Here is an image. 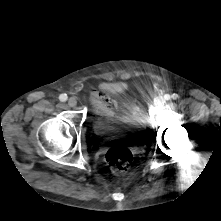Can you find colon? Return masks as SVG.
<instances>
[{"instance_id": "1", "label": "colon", "mask_w": 221, "mask_h": 221, "mask_svg": "<svg viewBox=\"0 0 221 221\" xmlns=\"http://www.w3.org/2000/svg\"><path fill=\"white\" fill-rule=\"evenodd\" d=\"M103 99L107 102L108 96H104ZM132 160L131 151L120 144L111 146L105 154L106 164L111 172L116 175L124 173L130 167Z\"/></svg>"}]
</instances>
